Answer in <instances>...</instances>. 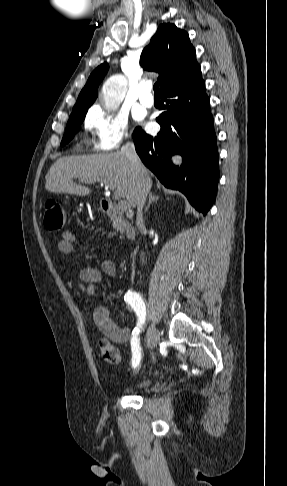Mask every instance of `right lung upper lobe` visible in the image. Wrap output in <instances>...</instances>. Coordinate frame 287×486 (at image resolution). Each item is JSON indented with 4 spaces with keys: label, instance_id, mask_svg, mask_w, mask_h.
<instances>
[{
    "label": "right lung upper lobe",
    "instance_id": "obj_1",
    "mask_svg": "<svg viewBox=\"0 0 287 486\" xmlns=\"http://www.w3.org/2000/svg\"><path fill=\"white\" fill-rule=\"evenodd\" d=\"M140 64L145 70L159 73L161 93L202 77L188 33L171 23H163L158 27L149 45L141 53ZM107 71L108 64L103 63L91 73L72 114L85 112L94 103L98 86Z\"/></svg>",
    "mask_w": 287,
    "mask_h": 486
}]
</instances>
